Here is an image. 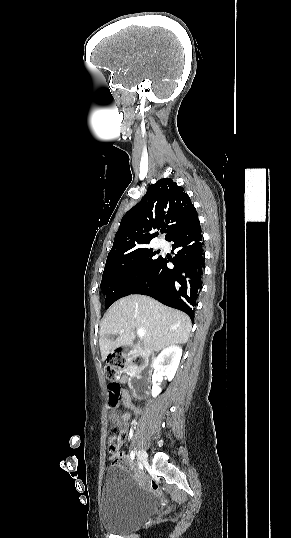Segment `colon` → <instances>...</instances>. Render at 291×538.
Instances as JSON below:
<instances>
[{"label":"colon","instance_id":"1","mask_svg":"<svg viewBox=\"0 0 291 538\" xmlns=\"http://www.w3.org/2000/svg\"><path fill=\"white\" fill-rule=\"evenodd\" d=\"M144 355L138 354L134 356L133 361L140 366L143 364ZM126 358L119 352H113L108 355L106 360V375L109 379L108 392H109V405L114 408L120 403V385L115 381L120 373L126 367ZM124 440V434L117 425H112L108 431V446L112 456L118 453L120 446ZM152 487L154 490H158V485L152 481Z\"/></svg>","mask_w":291,"mask_h":538}]
</instances>
